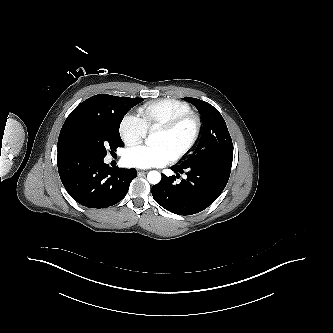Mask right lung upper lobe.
Returning a JSON list of instances; mask_svg holds the SVG:
<instances>
[{
  "instance_id": "1",
  "label": "right lung upper lobe",
  "mask_w": 333,
  "mask_h": 333,
  "mask_svg": "<svg viewBox=\"0 0 333 333\" xmlns=\"http://www.w3.org/2000/svg\"><path fill=\"white\" fill-rule=\"evenodd\" d=\"M109 96L110 95L107 94H99L92 96L91 98L79 104L74 110L80 109V110H91L95 112H104L107 109Z\"/></svg>"
}]
</instances>
